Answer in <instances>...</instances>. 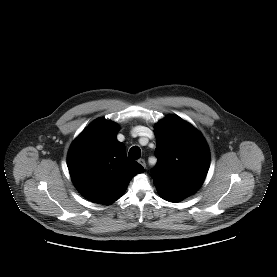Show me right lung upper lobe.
I'll list each match as a JSON object with an SVG mask.
<instances>
[{
	"mask_svg": "<svg viewBox=\"0 0 277 277\" xmlns=\"http://www.w3.org/2000/svg\"><path fill=\"white\" fill-rule=\"evenodd\" d=\"M116 123L98 118L72 143L67 163L77 190L87 199L111 204L125 192L129 181L144 168L127 158L116 139Z\"/></svg>",
	"mask_w": 277,
	"mask_h": 277,
	"instance_id": "right-lung-upper-lobe-1",
	"label": "right lung upper lobe"
}]
</instances>
